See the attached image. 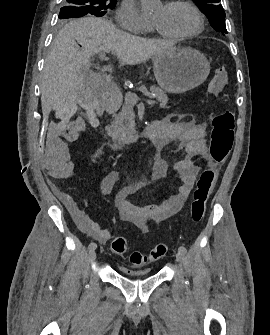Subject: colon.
Returning a JSON list of instances; mask_svg holds the SVG:
<instances>
[{"instance_id":"obj_1","label":"colon","mask_w":270,"mask_h":335,"mask_svg":"<svg viewBox=\"0 0 270 335\" xmlns=\"http://www.w3.org/2000/svg\"><path fill=\"white\" fill-rule=\"evenodd\" d=\"M227 80L226 68H217L209 81L208 92L212 95H219L227 84ZM234 127L235 119L231 110H223L213 116L209 147L212 164L203 169L193 192L188 215L192 224H198L204 218L208 195L217 180L218 166L225 162L233 147ZM111 249L117 255H124L128 249L126 238L124 236L114 237L111 241ZM168 250L167 244H157L146 253H131L129 262L133 266L146 265L164 257Z\"/></svg>"}]
</instances>
